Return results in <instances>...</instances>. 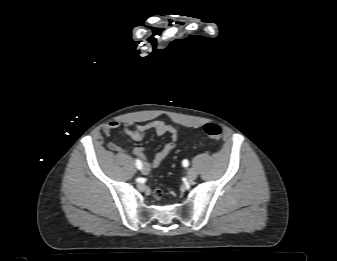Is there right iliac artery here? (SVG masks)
Here are the masks:
<instances>
[{
  "label": "right iliac artery",
  "instance_id": "1",
  "mask_svg": "<svg viewBox=\"0 0 337 261\" xmlns=\"http://www.w3.org/2000/svg\"><path fill=\"white\" fill-rule=\"evenodd\" d=\"M135 164L138 169H142V162L139 159H136Z\"/></svg>",
  "mask_w": 337,
  "mask_h": 261
}]
</instances>
